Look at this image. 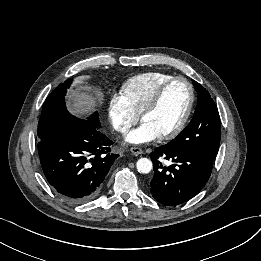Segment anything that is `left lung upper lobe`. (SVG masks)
I'll return each instance as SVG.
<instances>
[{
	"label": "left lung upper lobe",
	"mask_w": 261,
	"mask_h": 261,
	"mask_svg": "<svg viewBox=\"0 0 261 261\" xmlns=\"http://www.w3.org/2000/svg\"><path fill=\"white\" fill-rule=\"evenodd\" d=\"M192 82L198 94L194 117L169 144L180 145L214 161L221 137L220 116L208 91L196 81Z\"/></svg>",
	"instance_id": "left-lung-upper-lobe-1"
}]
</instances>
